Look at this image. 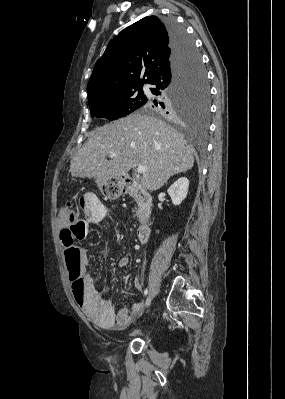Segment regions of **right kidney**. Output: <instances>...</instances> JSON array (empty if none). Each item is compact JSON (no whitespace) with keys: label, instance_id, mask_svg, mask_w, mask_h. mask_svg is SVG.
<instances>
[{"label":"right kidney","instance_id":"right-kidney-1","mask_svg":"<svg viewBox=\"0 0 285 399\" xmlns=\"http://www.w3.org/2000/svg\"><path fill=\"white\" fill-rule=\"evenodd\" d=\"M189 188V180L186 177L179 178L168 189V194L171 197L174 205H180L186 198Z\"/></svg>","mask_w":285,"mask_h":399}]
</instances>
